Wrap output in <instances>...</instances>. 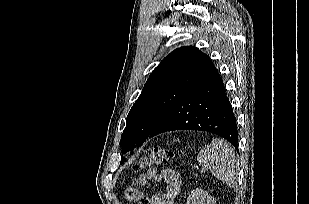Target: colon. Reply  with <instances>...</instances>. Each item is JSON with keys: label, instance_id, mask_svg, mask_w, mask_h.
<instances>
[{"label": "colon", "instance_id": "5ec220e1", "mask_svg": "<svg viewBox=\"0 0 309 204\" xmlns=\"http://www.w3.org/2000/svg\"><path fill=\"white\" fill-rule=\"evenodd\" d=\"M174 159V152L172 150H166L164 148L154 146L147 149L139 160L134 165L135 171H140L146 168H150L156 165H165L169 164ZM144 200H141L142 204Z\"/></svg>", "mask_w": 309, "mask_h": 204}]
</instances>
